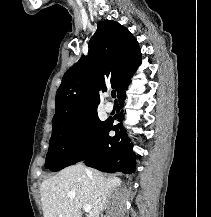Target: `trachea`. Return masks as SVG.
I'll use <instances>...</instances> for the list:
<instances>
[{"label":"trachea","mask_w":211,"mask_h":217,"mask_svg":"<svg viewBox=\"0 0 211 217\" xmlns=\"http://www.w3.org/2000/svg\"><path fill=\"white\" fill-rule=\"evenodd\" d=\"M111 95H112L113 98H115V97H116V91L113 90V91L111 92Z\"/></svg>","instance_id":"trachea-1"}]
</instances>
